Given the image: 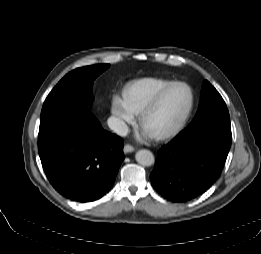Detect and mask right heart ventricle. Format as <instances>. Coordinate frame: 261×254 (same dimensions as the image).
Masks as SVG:
<instances>
[{"mask_svg":"<svg viewBox=\"0 0 261 254\" xmlns=\"http://www.w3.org/2000/svg\"><path fill=\"white\" fill-rule=\"evenodd\" d=\"M171 81L144 78L132 83L126 92L129 105L137 115L166 87Z\"/></svg>","mask_w":261,"mask_h":254,"instance_id":"e07e8e85","label":"right heart ventricle"}]
</instances>
